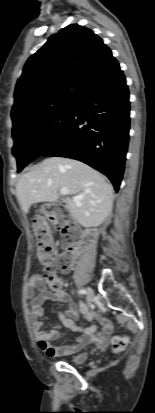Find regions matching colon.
<instances>
[{
    "instance_id": "5ec220e1",
    "label": "colon",
    "mask_w": 155,
    "mask_h": 413,
    "mask_svg": "<svg viewBox=\"0 0 155 413\" xmlns=\"http://www.w3.org/2000/svg\"><path fill=\"white\" fill-rule=\"evenodd\" d=\"M38 211L40 212L33 221V230L37 238V254L40 262L46 268L45 283L50 289L57 290L61 287V279L53 268L60 271L67 270L73 262V255L70 251L57 255L56 245L49 232L50 227L55 226L62 231V242L68 248L76 243L77 235L74 226L69 222L68 212L63 205L54 204L44 208L38 206ZM126 344V337L117 336L112 340L115 352L123 351Z\"/></svg>"
}]
</instances>
